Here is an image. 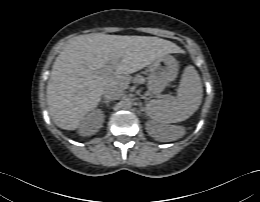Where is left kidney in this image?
Returning <instances> with one entry per match:
<instances>
[{
	"mask_svg": "<svg viewBox=\"0 0 260 202\" xmlns=\"http://www.w3.org/2000/svg\"><path fill=\"white\" fill-rule=\"evenodd\" d=\"M177 128L159 125L154 122L148 124V132L156 140L172 137Z\"/></svg>",
	"mask_w": 260,
	"mask_h": 202,
	"instance_id": "1",
	"label": "left kidney"
}]
</instances>
